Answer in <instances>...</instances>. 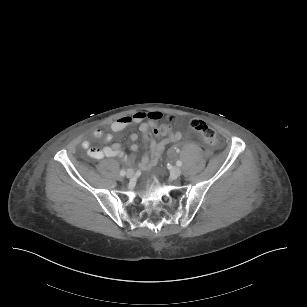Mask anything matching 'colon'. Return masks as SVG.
Returning <instances> with one entry per match:
<instances>
[{
  "label": "colon",
  "mask_w": 307,
  "mask_h": 307,
  "mask_svg": "<svg viewBox=\"0 0 307 307\" xmlns=\"http://www.w3.org/2000/svg\"><path fill=\"white\" fill-rule=\"evenodd\" d=\"M189 127L191 130L200 133L204 139L205 142L210 146H216L219 139L218 134L215 130H213L211 127H209L202 119L194 118L190 120ZM171 130V127L166 124H162L159 126H155L152 129L153 134L159 135V134H165L168 133ZM152 133H147L145 135V138L147 140H152L154 138V135Z\"/></svg>",
  "instance_id": "obj_1"
}]
</instances>
